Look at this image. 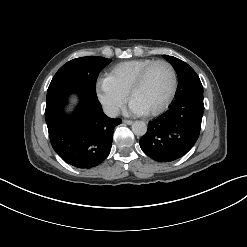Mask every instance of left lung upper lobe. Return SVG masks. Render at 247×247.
Returning a JSON list of instances; mask_svg holds the SVG:
<instances>
[{
  "mask_svg": "<svg viewBox=\"0 0 247 247\" xmlns=\"http://www.w3.org/2000/svg\"><path fill=\"white\" fill-rule=\"evenodd\" d=\"M163 57L172 64L178 75L175 99L195 92L203 93V86L198 75L187 63L173 56L163 55Z\"/></svg>",
  "mask_w": 247,
  "mask_h": 247,
  "instance_id": "5c2ea615",
  "label": "left lung upper lobe"
}]
</instances>
